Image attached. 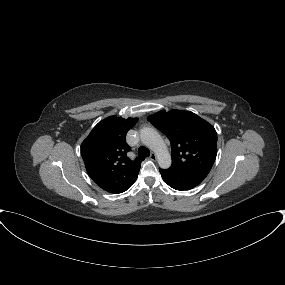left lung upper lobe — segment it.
<instances>
[{
	"mask_svg": "<svg viewBox=\"0 0 285 285\" xmlns=\"http://www.w3.org/2000/svg\"><path fill=\"white\" fill-rule=\"evenodd\" d=\"M170 140L171 169L209 173L217 155V133L212 125L190 111H160L148 117Z\"/></svg>",
	"mask_w": 285,
	"mask_h": 285,
	"instance_id": "obj_1",
	"label": "left lung upper lobe"
}]
</instances>
